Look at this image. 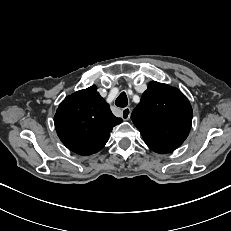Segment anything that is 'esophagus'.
Segmentation results:
<instances>
[{"label":"esophagus","instance_id":"obj_1","mask_svg":"<svg viewBox=\"0 0 231 231\" xmlns=\"http://www.w3.org/2000/svg\"><path fill=\"white\" fill-rule=\"evenodd\" d=\"M131 115V109L129 107H125L122 109L121 117L123 120H128Z\"/></svg>","mask_w":231,"mask_h":231}]
</instances>
